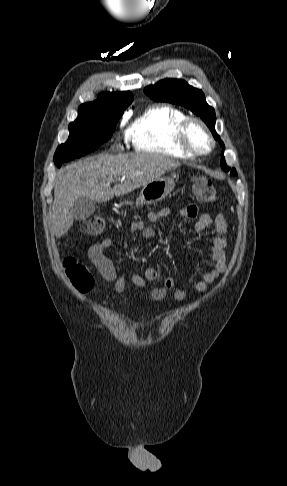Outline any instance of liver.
Wrapping results in <instances>:
<instances>
[{
    "label": "liver",
    "instance_id": "1",
    "mask_svg": "<svg viewBox=\"0 0 287 486\" xmlns=\"http://www.w3.org/2000/svg\"><path fill=\"white\" fill-rule=\"evenodd\" d=\"M180 163L158 154H100L71 164L57 173L50 231L60 238L72 227L73 206L78 197L106 202L159 179ZM120 184L110 187V183Z\"/></svg>",
    "mask_w": 287,
    "mask_h": 486
}]
</instances>
